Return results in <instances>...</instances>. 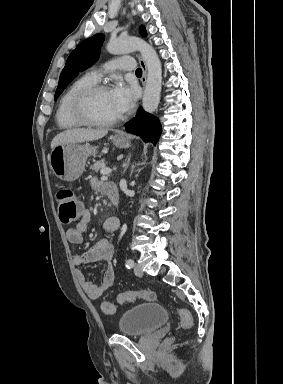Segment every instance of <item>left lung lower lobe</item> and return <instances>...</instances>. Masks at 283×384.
Listing matches in <instances>:
<instances>
[{
    "label": "left lung lower lobe",
    "instance_id": "0a47b994",
    "mask_svg": "<svg viewBox=\"0 0 283 384\" xmlns=\"http://www.w3.org/2000/svg\"><path fill=\"white\" fill-rule=\"evenodd\" d=\"M125 130L140 136L145 142L156 143L162 132L159 119L139 108L136 117L125 125Z\"/></svg>",
    "mask_w": 283,
    "mask_h": 384
}]
</instances>
